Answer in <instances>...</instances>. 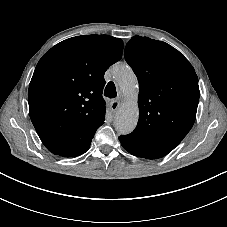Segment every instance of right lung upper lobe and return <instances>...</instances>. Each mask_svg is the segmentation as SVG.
<instances>
[{
    "label": "right lung upper lobe",
    "instance_id": "1",
    "mask_svg": "<svg viewBox=\"0 0 227 227\" xmlns=\"http://www.w3.org/2000/svg\"><path fill=\"white\" fill-rule=\"evenodd\" d=\"M123 41L109 35L77 36L52 47L32 76L31 121L49 151L85 153L105 120L104 73L122 57Z\"/></svg>",
    "mask_w": 227,
    "mask_h": 227
}]
</instances>
